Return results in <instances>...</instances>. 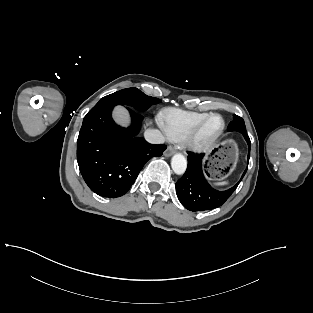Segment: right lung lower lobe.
I'll return each instance as SVG.
<instances>
[{
	"instance_id": "1",
	"label": "right lung lower lobe",
	"mask_w": 313,
	"mask_h": 313,
	"mask_svg": "<svg viewBox=\"0 0 313 313\" xmlns=\"http://www.w3.org/2000/svg\"><path fill=\"white\" fill-rule=\"evenodd\" d=\"M115 104L94 106L84 117L77 140V162L89 188L103 197L124 195L144 164L161 156L166 145L137 137L143 116L129 109L132 125L118 126L111 113Z\"/></svg>"
}]
</instances>
